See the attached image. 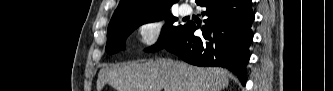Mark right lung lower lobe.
I'll list each match as a JSON object with an SVG mask.
<instances>
[{"label":"right lung lower lobe","instance_id":"obj_1","mask_svg":"<svg viewBox=\"0 0 333 91\" xmlns=\"http://www.w3.org/2000/svg\"><path fill=\"white\" fill-rule=\"evenodd\" d=\"M208 18L201 27L189 21L182 31L164 48L197 66H222L246 83L249 46L253 39L254 21L251 0H201ZM201 27L202 36H194Z\"/></svg>","mask_w":333,"mask_h":91}]
</instances>
